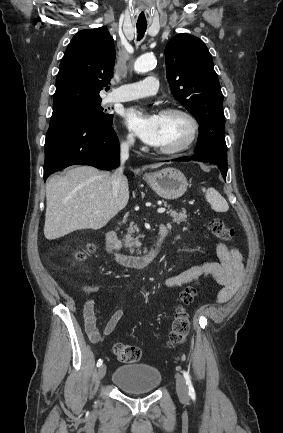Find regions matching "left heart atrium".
Returning <instances> with one entry per match:
<instances>
[{"label":"left heart atrium","instance_id":"obj_1","mask_svg":"<svg viewBox=\"0 0 283 433\" xmlns=\"http://www.w3.org/2000/svg\"><path fill=\"white\" fill-rule=\"evenodd\" d=\"M127 127L151 150H159L162 143L161 115H149L142 107H132L124 114Z\"/></svg>","mask_w":283,"mask_h":433}]
</instances>
